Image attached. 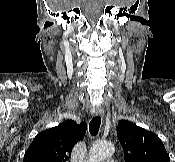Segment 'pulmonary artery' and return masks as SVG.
<instances>
[{
  "label": "pulmonary artery",
  "instance_id": "obj_1",
  "mask_svg": "<svg viewBox=\"0 0 175 162\" xmlns=\"http://www.w3.org/2000/svg\"><path fill=\"white\" fill-rule=\"evenodd\" d=\"M104 162H116V161L113 159H106V160H104Z\"/></svg>",
  "mask_w": 175,
  "mask_h": 162
}]
</instances>
